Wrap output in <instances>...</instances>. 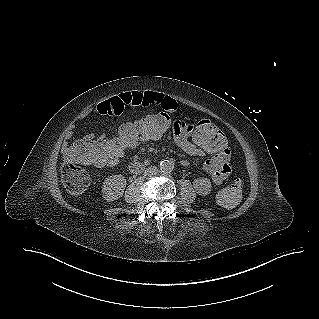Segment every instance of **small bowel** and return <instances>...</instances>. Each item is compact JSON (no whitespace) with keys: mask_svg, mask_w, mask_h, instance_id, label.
Here are the masks:
<instances>
[{"mask_svg":"<svg viewBox=\"0 0 319 319\" xmlns=\"http://www.w3.org/2000/svg\"><path fill=\"white\" fill-rule=\"evenodd\" d=\"M128 106H156L166 111L172 112L177 109V100L153 91L126 92L112 98L104 99L96 106L93 112L97 115L103 116L106 119L119 120L124 117L126 113V107ZM163 118L165 119L166 123H168L166 117L163 116ZM126 125L127 124L122 125L120 129ZM192 127V121H171L170 129L173 133L174 142L185 153L191 156L202 157L205 154H213L211 158L205 161L204 170L210 175L211 180L215 185L222 184L231 173V165L229 161V153L232 151L231 146H224L223 151L220 153H211L202 150L196 144L190 141L187 136H184L189 134L190 130H192ZM73 133V130H70L67 134L63 144L65 150L71 147L69 144V139ZM182 164L187 165L188 162L183 161Z\"/></svg>","mask_w":319,"mask_h":319,"instance_id":"small-bowel-1","label":"small bowel"}]
</instances>
